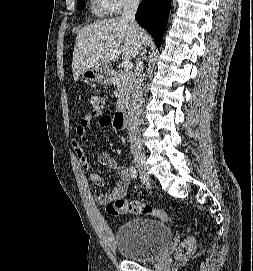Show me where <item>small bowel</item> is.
Segmentation results:
<instances>
[{
	"mask_svg": "<svg viewBox=\"0 0 253 271\" xmlns=\"http://www.w3.org/2000/svg\"><path fill=\"white\" fill-rule=\"evenodd\" d=\"M98 114L93 112V113H88L82 116L80 119L79 124L77 125L76 128V133L79 137H81L83 140H86V134L87 130L89 129L92 120L97 117ZM100 126L101 127H110L114 125V121L111 116L105 115L100 118ZM72 148L81 163V165L85 169H89L91 167V163L89 160V157L87 154L84 152V150L81 147V144L74 140L72 142ZM98 163L111 167V168H116L119 173V180L117 182L116 187L110 191L109 193H104L101 194L98 197V202L102 205L107 206L109 203L116 201L118 199H122L126 196L127 190L129 187V184L131 182V174L130 171L127 167L124 166H118L113 159L111 155L108 153H102L98 159ZM89 179L97 186H103L105 184V179L104 176L100 172H92L89 175ZM107 209V208H106ZM107 211L112 214V215H120L122 213L117 212L115 210H108Z\"/></svg>",
	"mask_w": 253,
	"mask_h": 271,
	"instance_id": "small-bowel-1",
	"label": "small bowel"
}]
</instances>
